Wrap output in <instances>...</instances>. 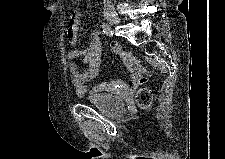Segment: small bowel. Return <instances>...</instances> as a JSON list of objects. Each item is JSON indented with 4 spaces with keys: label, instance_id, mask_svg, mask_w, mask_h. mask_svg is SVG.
<instances>
[{
    "label": "small bowel",
    "instance_id": "c3829d8e",
    "mask_svg": "<svg viewBox=\"0 0 225 159\" xmlns=\"http://www.w3.org/2000/svg\"><path fill=\"white\" fill-rule=\"evenodd\" d=\"M79 26L80 14L78 11H74L69 19L66 30L67 41L73 47L77 43ZM109 46L116 53L121 49L119 44L116 42H110ZM101 56L102 46L100 43V34L97 31L91 34L89 42L83 50L73 48L68 52V68L71 75L72 84L75 86L77 94L82 95L84 92H86V84L98 75ZM79 57L82 58L85 64H87V67L82 71L79 70L77 63L74 62V60ZM143 82H145V80L139 83ZM120 87H122V83L120 81H111L100 84L96 89L99 91H115ZM134 87V82H131L127 85L128 90H132Z\"/></svg>",
    "mask_w": 225,
    "mask_h": 159
}]
</instances>
